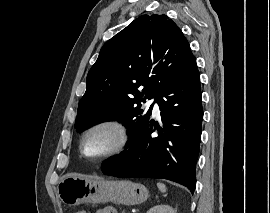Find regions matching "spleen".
I'll return each mask as SVG.
<instances>
[{"label": "spleen", "mask_w": 270, "mask_h": 213, "mask_svg": "<svg viewBox=\"0 0 270 213\" xmlns=\"http://www.w3.org/2000/svg\"><path fill=\"white\" fill-rule=\"evenodd\" d=\"M157 187L159 188V190L162 193H166L167 188H166V185L165 184L159 182V183H157Z\"/></svg>", "instance_id": "spleen-1"}]
</instances>
